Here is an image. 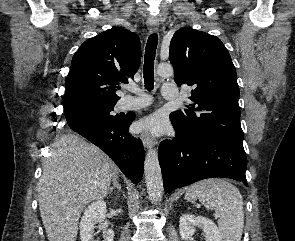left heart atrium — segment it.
Returning <instances> with one entry per match:
<instances>
[{
    "label": "left heart atrium",
    "instance_id": "1",
    "mask_svg": "<svg viewBox=\"0 0 295 241\" xmlns=\"http://www.w3.org/2000/svg\"><path fill=\"white\" fill-rule=\"evenodd\" d=\"M165 127L164 120L158 115H152L139 123V128L141 130L150 131L153 134H160L163 132Z\"/></svg>",
    "mask_w": 295,
    "mask_h": 241
}]
</instances>
